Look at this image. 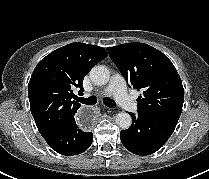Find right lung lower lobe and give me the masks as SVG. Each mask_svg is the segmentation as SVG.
<instances>
[{
  "mask_svg": "<svg viewBox=\"0 0 209 179\" xmlns=\"http://www.w3.org/2000/svg\"><path fill=\"white\" fill-rule=\"evenodd\" d=\"M44 139L56 152L71 156L86 151L93 141V134L82 131L73 117Z\"/></svg>",
  "mask_w": 209,
  "mask_h": 179,
  "instance_id": "1",
  "label": "right lung lower lobe"
}]
</instances>
